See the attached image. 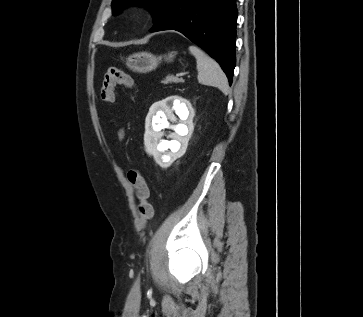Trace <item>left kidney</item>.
I'll return each mask as SVG.
<instances>
[{
	"label": "left kidney",
	"mask_w": 363,
	"mask_h": 317,
	"mask_svg": "<svg viewBox=\"0 0 363 317\" xmlns=\"http://www.w3.org/2000/svg\"><path fill=\"white\" fill-rule=\"evenodd\" d=\"M173 110L180 118V123L177 125H170L168 122V120L176 121ZM193 117L192 105L179 96L167 97L151 106L146 118L144 144L146 152L152 155L161 167L170 166L185 154L194 130ZM164 128L175 131L168 136L173 140L161 139L164 136L161 130ZM167 149H170L171 152L164 154Z\"/></svg>",
	"instance_id": "5707ae66"
}]
</instances>
